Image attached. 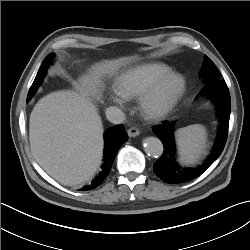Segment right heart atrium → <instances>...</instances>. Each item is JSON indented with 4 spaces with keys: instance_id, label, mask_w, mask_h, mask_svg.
<instances>
[{
    "instance_id": "right-heart-atrium-1",
    "label": "right heart atrium",
    "mask_w": 250,
    "mask_h": 250,
    "mask_svg": "<svg viewBox=\"0 0 250 250\" xmlns=\"http://www.w3.org/2000/svg\"><path fill=\"white\" fill-rule=\"evenodd\" d=\"M107 99L110 102L118 104L120 106H124L126 103V98L123 95L119 94L117 91L109 92L107 94Z\"/></svg>"
}]
</instances>
